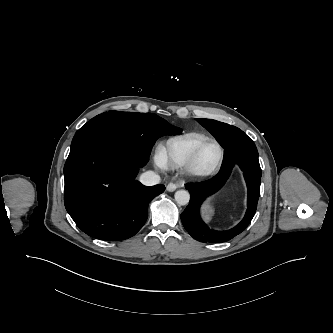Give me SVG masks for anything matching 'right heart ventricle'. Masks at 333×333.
I'll return each mask as SVG.
<instances>
[{"label": "right heart ventricle", "instance_id": "obj_1", "mask_svg": "<svg viewBox=\"0 0 333 333\" xmlns=\"http://www.w3.org/2000/svg\"><path fill=\"white\" fill-rule=\"evenodd\" d=\"M208 138L207 135L198 132L171 137L160 146L159 157L167 167H183L197 146Z\"/></svg>", "mask_w": 333, "mask_h": 333}]
</instances>
